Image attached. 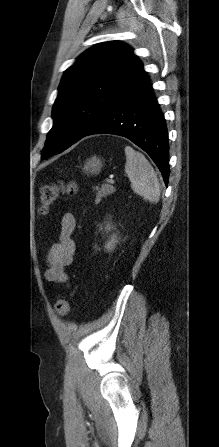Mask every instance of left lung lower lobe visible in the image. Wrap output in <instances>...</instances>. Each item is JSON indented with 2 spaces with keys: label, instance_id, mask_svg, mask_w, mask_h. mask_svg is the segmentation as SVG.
Returning <instances> with one entry per match:
<instances>
[{
  "label": "left lung lower lobe",
  "instance_id": "obj_1",
  "mask_svg": "<svg viewBox=\"0 0 219 447\" xmlns=\"http://www.w3.org/2000/svg\"><path fill=\"white\" fill-rule=\"evenodd\" d=\"M114 134L128 138L143 149L168 184V133L164 116L146 72L141 70L133 84L86 134Z\"/></svg>",
  "mask_w": 219,
  "mask_h": 447
}]
</instances>
